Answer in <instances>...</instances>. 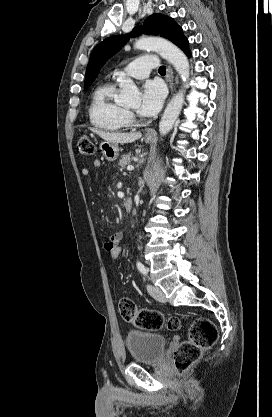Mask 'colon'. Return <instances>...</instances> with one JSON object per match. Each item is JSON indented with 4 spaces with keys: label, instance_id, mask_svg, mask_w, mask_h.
I'll return each mask as SVG.
<instances>
[{
    "label": "colon",
    "instance_id": "obj_1",
    "mask_svg": "<svg viewBox=\"0 0 272 417\" xmlns=\"http://www.w3.org/2000/svg\"><path fill=\"white\" fill-rule=\"evenodd\" d=\"M80 155L94 156L97 152L95 144L86 135H81L77 142ZM122 241H112L106 247L110 258L117 260L121 256ZM118 309L121 317L139 329L150 331L160 330L166 326L169 330L179 327V319L170 317L166 322L161 313L151 309H138L136 303L124 296L120 299ZM218 338V330L207 318H198L189 330L188 339L183 341L174 352V363L180 373L186 372L201 357L204 350L213 346Z\"/></svg>",
    "mask_w": 272,
    "mask_h": 417
}]
</instances>
